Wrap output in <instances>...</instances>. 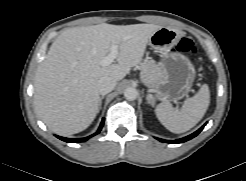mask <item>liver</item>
<instances>
[{"mask_svg":"<svg viewBox=\"0 0 246 181\" xmlns=\"http://www.w3.org/2000/svg\"><path fill=\"white\" fill-rule=\"evenodd\" d=\"M161 27L102 23L63 31L35 75L34 105L41 120L60 135L88 128L98 113V80H122L141 62L149 39ZM113 45L118 46L117 63L103 66Z\"/></svg>","mask_w":246,"mask_h":181,"instance_id":"obj_1","label":"liver"}]
</instances>
